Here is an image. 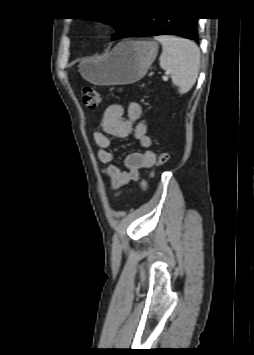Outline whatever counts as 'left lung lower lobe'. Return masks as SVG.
I'll list each match as a JSON object with an SVG mask.
<instances>
[{
    "mask_svg": "<svg viewBox=\"0 0 254 355\" xmlns=\"http://www.w3.org/2000/svg\"><path fill=\"white\" fill-rule=\"evenodd\" d=\"M198 18H136L132 28L123 37L178 35L198 43Z\"/></svg>",
    "mask_w": 254,
    "mask_h": 355,
    "instance_id": "left-lung-lower-lobe-1",
    "label": "left lung lower lobe"
}]
</instances>
